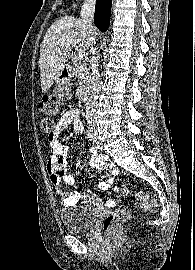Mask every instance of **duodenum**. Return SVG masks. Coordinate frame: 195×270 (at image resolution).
<instances>
[{
  "instance_id": "duodenum-1",
  "label": "duodenum",
  "mask_w": 195,
  "mask_h": 270,
  "mask_svg": "<svg viewBox=\"0 0 195 270\" xmlns=\"http://www.w3.org/2000/svg\"><path fill=\"white\" fill-rule=\"evenodd\" d=\"M64 78L66 80L70 79L72 77V70L70 66H66L64 71H63ZM88 98V90L86 88H83L79 92V99L81 101H86Z\"/></svg>"
}]
</instances>
